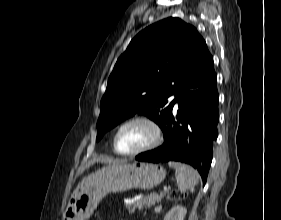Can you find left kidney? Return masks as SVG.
Instances as JSON below:
<instances>
[{"mask_svg": "<svg viewBox=\"0 0 281 220\" xmlns=\"http://www.w3.org/2000/svg\"><path fill=\"white\" fill-rule=\"evenodd\" d=\"M186 213L187 209L185 207L176 205L168 211L163 220H184Z\"/></svg>", "mask_w": 281, "mask_h": 220, "instance_id": "obj_1", "label": "left kidney"}]
</instances>
